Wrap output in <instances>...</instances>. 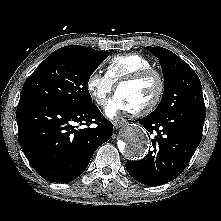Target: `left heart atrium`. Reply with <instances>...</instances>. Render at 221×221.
<instances>
[{
  "label": "left heart atrium",
  "instance_id": "1",
  "mask_svg": "<svg viewBox=\"0 0 221 221\" xmlns=\"http://www.w3.org/2000/svg\"><path fill=\"white\" fill-rule=\"evenodd\" d=\"M130 108L125 101L116 94L107 104L105 113L108 117H116L120 112H129Z\"/></svg>",
  "mask_w": 221,
  "mask_h": 221
}]
</instances>
